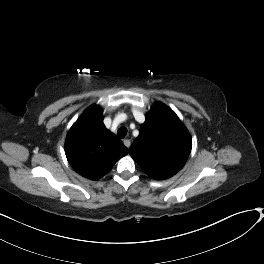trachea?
<instances>
[{
	"label": "trachea",
	"mask_w": 264,
	"mask_h": 264,
	"mask_svg": "<svg viewBox=\"0 0 264 264\" xmlns=\"http://www.w3.org/2000/svg\"><path fill=\"white\" fill-rule=\"evenodd\" d=\"M117 134L120 138H124L127 134V129L125 127H120L117 131Z\"/></svg>",
	"instance_id": "obj_1"
}]
</instances>
